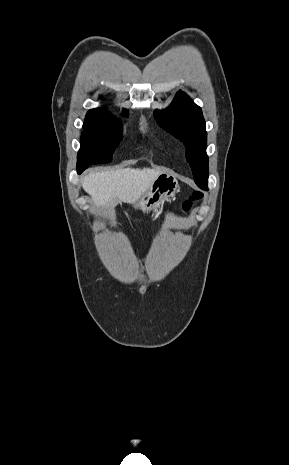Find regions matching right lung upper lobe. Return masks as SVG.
<instances>
[{
	"instance_id": "obj_1",
	"label": "right lung upper lobe",
	"mask_w": 289,
	"mask_h": 465,
	"mask_svg": "<svg viewBox=\"0 0 289 465\" xmlns=\"http://www.w3.org/2000/svg\"><path fill=\"white\" fill-rule=\"evenodd\" d=\"M114 120V117L106 109L89 110L83 126L101 127L107 126Z\"/></svg>"
}]
</instances>
